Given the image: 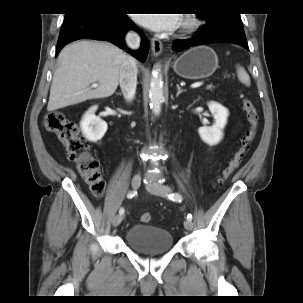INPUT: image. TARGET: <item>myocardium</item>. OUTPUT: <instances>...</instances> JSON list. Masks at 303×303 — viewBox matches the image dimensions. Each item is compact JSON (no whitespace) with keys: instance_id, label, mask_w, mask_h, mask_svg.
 Segmentation results:
<instances>
[{"instance_id":"obj_1","label":"myocardium","mask_w":303,"mask_h":303,"mask_svg":"<svg viewBox=\"0 0 303 303\" xmlns=\"http://www.w3.org/2000/svg\"><path fill=\"white\" fill-rule=\"evenodd\" d=\"M200 24V18L196 13H185L180 21V30L189 33L198 28Z\"/></svg>"}]
</instances>
